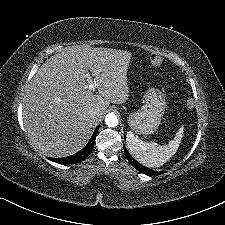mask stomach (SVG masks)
<instances>
[{"instance_id":"1","label":"stomach","mask_w":225,"mask_h":225,"mask_svg":"<svg viewBox=\"0 0 225 225\" xmlns=\"http://www.w3.org/2000/svg\"><path fill=\"white\" fill-rule=\"evenodd\" d=\"M164 109L163 95L158 91L149 90L144 97L142 108L128 116V124L137 134H152L160 125Z\"/></svg>"}]
</instances>
